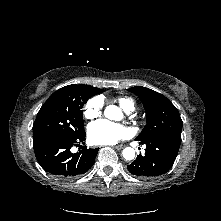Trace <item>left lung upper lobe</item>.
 I'll return each instance as SVG.
<instances>
[{"mask_svg":"<svg viewBox=\"0 0 221 221\" xmlns=\"http://www.w3.org/2000/svg\"><path fill=\"white\" fill-rule=\"evenodd\" d=\"M128 90L140 98L146 111L147 125L136 138L137 141L159 134L181 135L183 122L177 108L168 98L141 86L132 87Z\"/></svg>","mask_w":221,"mask_h":221,"instance_id":"1","label":"left lung upper lobe"}]
</instances>
